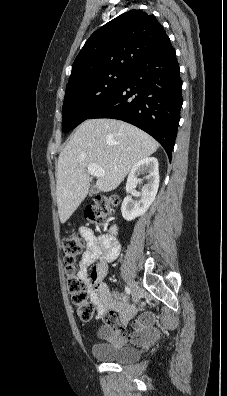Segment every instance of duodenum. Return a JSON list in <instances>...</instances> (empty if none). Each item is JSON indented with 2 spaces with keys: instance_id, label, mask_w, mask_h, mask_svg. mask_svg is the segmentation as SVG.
<instances>
[{
  "instance_id": "1",
  "label": "duodenum",
  "mask_w": 227,
  "mask_h": 396,
  "mask_svg": "<svg viewBox=\"0 0 227 396\" xmlns=\"http://www.w3.org/2000/svg\"><path fill=\"white\" fill-rule=\"evenodd\" d=\"M116 232H117V228L114 225V226H112L110 228V233L108 235H106V236L111 237V238H115Z\"/></svg>"
}]
</instances>
